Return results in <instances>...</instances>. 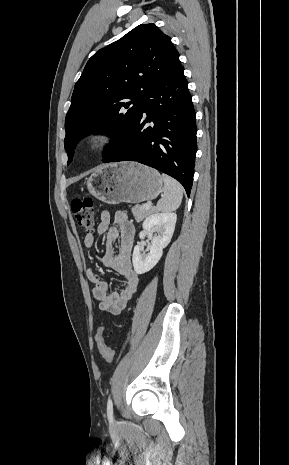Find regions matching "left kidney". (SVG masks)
Masks as SVG:
<instances>
[{"instance_id": "5707ae66", "label": "left kidney", "mask_w": 289, "mask_h": 465, "mask_svg": "<svg viewBox=\"0 0 289 465\" xmlns=\"http://www.w3.org/2000/svg\"><path fill=\"white\" fill-rule=\"evenodd\" d=\"M177 215L175 213H155L149 215L143 222V230L140 232V239H144L147 234L155 230L148 246V253L143 251V246L134 247L132 261L137 274H144L150 271L160 260L163 249L170 243L174 233Z\"/></svg>"}]
</instances>
